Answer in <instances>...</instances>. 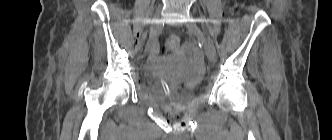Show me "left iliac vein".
Returning <instances> with one entry per match:
<instances>
[{
	"mask_svg": "<svg viewBox=\"0 0 332 140\" xmlns=\"http://www.w3.org/2000/svg\"><path fill=\"white\" fill-rule=\"evenodd\" d=\"M187 28L198 38L206 50L207 57L210 62L215 63L216 54L210 49L205 34L198 28V26L193 22L187 24Z\"/></svg>",
	"mask_w": 332,
	"mask_h": 140,
	"instance_id": "1",
	"label": "left iliac vein"
}]
</instances>
